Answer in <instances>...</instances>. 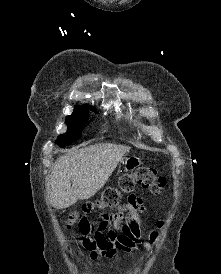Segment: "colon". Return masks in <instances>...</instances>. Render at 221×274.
I'll return each instance as SVG.
<instances>
[{
	"label": "colon",
	"mask_w": 221,
	"mask_h": 274,
	"mask_svg": "<svg viewBox=\"0 0 221 274\" xmlns=\"http://www.w3.org/2000/svg\"><path fill=\"white\" fill-rule=\"evenodd\" d=\"M136 186L159 194L165 186V179L150 167H139L132 173L124 174L119 180L118 187L107 188L96 201L86 202L80 211L73 212L68 218V228H72L84 215L94 213L97 209L115 207L122 195L130 193Z\"/></svg>",
	"instance_id": "colon-1"
}]
</instances>
